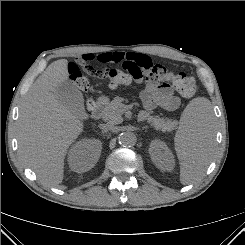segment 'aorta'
Masks as SVG:
<instances>
[{
  "mask_svg": "<svg viewBox=\"0 0 245 245\" xmlns=\"http://www.w3.org/2000/svg\"><path fill=\"white\" fill-rule=\"evenodd\" d=\"M136 140V135L132 132H124L119 135V143L125 147L133 146Z\"/></svg>",
  "mask_w": 245,
  "mask_h": 245,
  "instance_id": "762f6f07",
  "label": "aorta"
}]
</instances>
